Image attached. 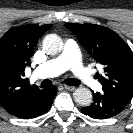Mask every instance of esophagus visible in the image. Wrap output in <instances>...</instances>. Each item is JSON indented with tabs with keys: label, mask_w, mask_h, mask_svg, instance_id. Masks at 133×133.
I'll return each mask as SVG.
<instances>
[{
	"label": "esophagus",
	"mask_w": 133,
	"mask_h": 133,
	"mask_svg": "<svg viewBox=\"0 0 133 133\" xmlns=\"http://www.w3.org/2000/svg\"><path fill=\"white\" fill-rule=\"evenodd\" d=\"M64 88L69 90V91H74L76 89V87L70 86V85H64Z\"/></svg>",
	"instance_id": "1"
}]
</instances>
